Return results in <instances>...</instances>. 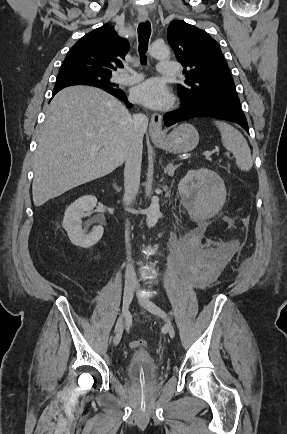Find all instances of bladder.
Listing matches in <instances>:
<instances>
[{
    "instance_id": "31cf9c89",
    "label": "bladder",
    "mask_w": 287,
    "mask_h": 434,
    "mask_svg": "<svg viewBox=\"0 0 287 434\" xmlns=\"http://www.w3.org/2000/svg\"><path fill=\"white\" fill-rule=\"evenodd\" d=\"M129 379L154 378L158 374V364L149 353H135L123 369Z\"/></svg>"
}]
</instances>
